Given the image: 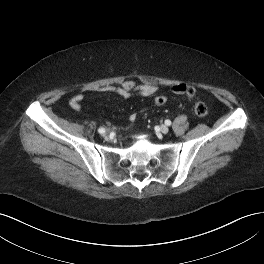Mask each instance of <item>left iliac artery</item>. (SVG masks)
Here are the masks:
<instances>
[{"label":"left iliac artery","instance_id":"44dca946","mask_svg":"<svg viewBox=\"0 0 264 264\" xmlns=\"http://www.w3.org/2000/svg\"><path fill=\"white\" fill-rule=\"evenodd\" d=\"M165 124L170 126L171 125V121L170 120H165Z\"/></svg>","mask_w":264,"mask_h":264}]
</instances>
